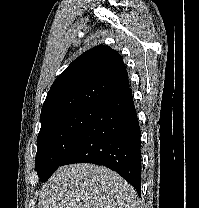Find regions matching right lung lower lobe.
Segmentation results:
<instances>
[{
    "label": "right lung lower lobe",
    "mask_w": 199,
    "mask_h": 208,
    "mask_svg": "<svg viewBox=\"0 0 199 208\" xmlns=\"http://www.w3.org/2000/svg\"><path fill=\"white\" fill-rule=\"evenodd\" d=\"M140 127L132 90L104 103L60 166L93 163L126 179L141 195Z\"/></svg>",
    "instance_id": "1"
}]
</instances>
